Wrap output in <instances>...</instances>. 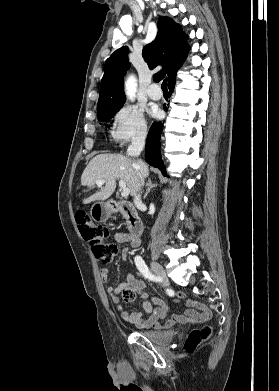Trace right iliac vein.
Masks as SVG:
<instances>
[{"label": "right iliac vein", "instance_id": "63e3f726", "mask_svg": "<svg viewBox=\"0 0 279 391\" xmlns=\"http://www.w3.org/2000/svg\"><path fill=\"white\" fill-rule=\"evenodd\" d=\"M150 265H151V268H152L153 272L159 278H161V280L163 281L164 286H166V287L169 286V280L167 278L166 272L163 269V267L157 261H154V260H152L150 262Z\"/></svg>", "mask_w": 279, "mask_h": 391}]
</instances>
